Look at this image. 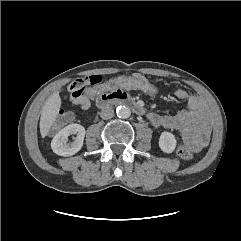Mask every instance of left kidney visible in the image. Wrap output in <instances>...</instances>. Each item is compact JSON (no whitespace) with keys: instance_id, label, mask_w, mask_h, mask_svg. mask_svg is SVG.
Masks as SVG:
<instances>
[{"instance_id":"1","label":"left kidney","mask_w":241,"mask_h":241,"mask_svg":"<svg viewBox=\"0 0 241 241\" xmlns=\"http://www.w3.org/2000/svg\"><path fill=\"white\" fill-rule=\"evenodd\" d=\"M177 141L175 136L167 131L161 133L159 138V147L165 153H172L176 148Z\"/></svg>"}]
</instances>
